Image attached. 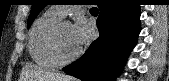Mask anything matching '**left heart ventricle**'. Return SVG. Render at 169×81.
<instances>
[{
    "label": "left heart ventricle",
    "instance_id": "1",
    "mask_svg": "<svg viewBox=\"0 0 169 81\" xmlns=\"http://www.w3.org/2000/svg\"><path fill=\"white\" fill-rule=\"evenodd\" d=\"M59 46L64 56H70L78 49L72 38L71 24L68 22H64L60 28Z\"/></svg>",
    "mask_w": 169,
    "mask_h": 81
}]
</instances>
